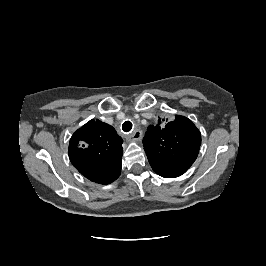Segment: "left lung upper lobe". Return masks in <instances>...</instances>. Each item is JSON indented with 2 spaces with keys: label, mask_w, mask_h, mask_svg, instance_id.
<instances>
[{
  "label": "left lung upper lobe",
  "mask_w": 266,
  "mask_h": 266,
  "mask_svg": "<svg viewBox=\"0 0 266 266\" xmlns=\"http://www.w3.org/2000/svg\"><path fill=\"white\" fill-rule=\"evenodd\" d=\"M149 163L157 174L175 178L184 174L198 156L201 134L191 120L176 115L172 121L158 120L143 139Z\"/></svg>",
  "instance_id": "5c2ea615"
}]
</instances>
